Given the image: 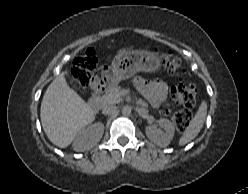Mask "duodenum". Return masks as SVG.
I'll return each instance as SVG.
<instances>
[{
  "label": "duodenum",
  "mask_w": 248,
  "mask_h": 194,
  "mask_svg": "<svg viewBox=\"0 0 248 194\" xmlns=\"http://www.w3.org/2000/svg\"><path fill=\"white\" fill-rule=\"evenodd\" d=\"M101 92H102V89L95 90L93 94L88 98L86 105L90 111L92 112L97 111L99 104H100L99 94Z\"/></svg>",
  "instance_id": "duodenum-1"
}]
</instances>
